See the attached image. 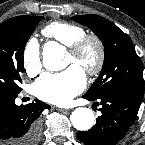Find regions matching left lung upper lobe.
Wrapping results in <instances>:
<instances>
[{
  "mask_svg": "<svg viewBox=\"0 0 145 145\" xmlns=\"http://www.w3.org/2000/svg\"><path fill=\"white\" fill-rule=\"evenodd\" d=\"M72 19L88 26L104 45L102 71L85 95L97 99L111 94H128L142 100V63L129 36L98 15L87 14Z\"/></svg>",
  "mask_w": 145,
  "mask_h": 145,
  "instance_id": "5c2ea615",
  "label": "left lung upper lobe"
}]
</instances>
